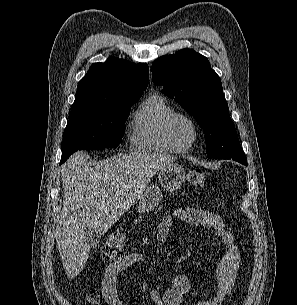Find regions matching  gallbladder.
<instances>
[{
	"label": "gallbladder",
	"instance_id": "gallbladder-1",
	"mask_svg": "<svg viewBox=\"0 0 297 305\" xmlns=\"http://www.w3.org/2000/svg\"><path fill=\"white\" fill-rule=\"evenodd\" d=\"M102 234L97 229L87 228L84 232L85 242L90 248H94L99 244Z\"/></svg>",
	"mask_w": 297,
	"mask_h": 305
}]
</instances>
